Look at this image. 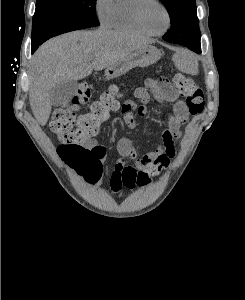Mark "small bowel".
Listing matches in <instances>:
<instances>
[{
  "label": "small bowel",
  "instance_id": "c3829d8e",
  "mask_svg": "<svg viewBox=\"0 0 245 300\" xmlns=\"http://www.w3.org/2000/svg\"><path fill=\"white\" fill-rule=\"evenodd\" d=\"M134 95L137 102L126 101L119 107V114L130 129L137 127L135 113L140 116L146 114L151 96L158 102L172 103L173 110L168 118V125L160 134L153 151L138 154L129 138L121 137L118 140V156L109 178L110 188L114 193L120 192L123 188H134L140 174L150 177L165 169L175 155L174 142L180 138L181 128L189 118L187 106L179 98V94L173 86L164 78L147 79L144 86L135 90ZM86 146L98 152L100 163L104 161L106 153L103 146L93 139L88 141ZM129 162H132V165Z\"/></svg>",
  "mask_w": 245,
  "mask_h": 300
}]
</instances>
